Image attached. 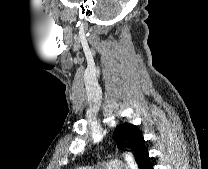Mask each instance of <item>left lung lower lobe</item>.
<instances>
[{"mask_svg": "<svg viewBox=\"0 0 208 169\" xmlns=\"http://www.w3.org/2000/svg\"><path fill=\"white\" fill-rule=\"evenodd\" d=\"M137 163H138L139 169H154L153 164L150 161L149 153L147 150L142 152Z\"/></svg>", "mask_w": 208, "mask_h": 169, "instance_id": "obj_1", "label": "left lung lower lobe"}]
</instances>
